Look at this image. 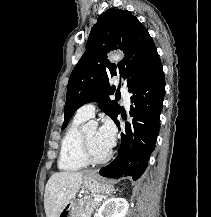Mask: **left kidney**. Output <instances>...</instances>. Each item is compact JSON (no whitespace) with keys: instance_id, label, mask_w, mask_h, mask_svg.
Returning <instances> with one entry per match:
<instances>
[{"instance_id":"5707ae66","label":"left kidney","mask_w":211,"mask_h":217,"mask_svg":"<svg viewBox=\"0 0 211 217\" xmlns=\"http://www.w3.org/2000/svg\"><path fill=\"white\" fill-rule=\"evenodd\" d=\"M128 208L124 198H110L100 206L97 217H125Z\"/></svg>"}]
</instances>
